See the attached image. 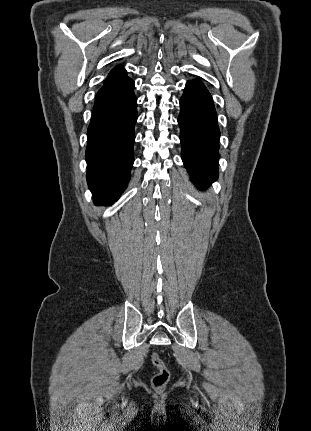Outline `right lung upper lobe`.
I'll return each mask as SVG.
<instances>
[{
	"mask_svg": "<svg viewBox=\"0 0 311 431\" xmlns=\"http://www.w3.org/2000/svg\"><path fill=\"white\" fill-rule=\"evenodd\" d=\"M120 70H123V67H121V66H116L110 73H115V72H118V71H120Z\"/></svg>",
	"mask_w": 311,
	"mask_h": 431,
	"instance_id": "obj_1",
	"label": "right lung upper lobe"
}]
</instances>
